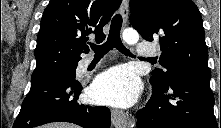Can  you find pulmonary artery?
Wrapping results in <instances>:
<instances>
[{"label":"pulmonary artery","mask_w":221,"mask_h":128,"mask_svg":"<svg viewBox=\"0 0 221 128\" xmlns=\"http://www.w3.org/2000/svg\"><path fill=\"white\" fill-rule=\"evenodd\" d=\"M157 55L156 49L151 44L140 42L138 44L137 53L134 55L136 58L140 60H149L153 56ZM91 63V59H84L82 61V68L87 67Z\"/></svg>","instance_id":"pulmonary-artery-1"}]
</instances>
